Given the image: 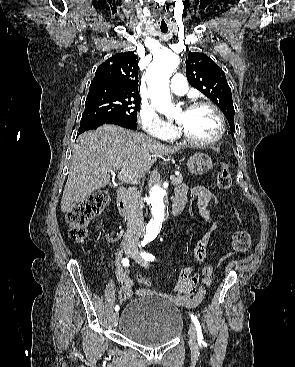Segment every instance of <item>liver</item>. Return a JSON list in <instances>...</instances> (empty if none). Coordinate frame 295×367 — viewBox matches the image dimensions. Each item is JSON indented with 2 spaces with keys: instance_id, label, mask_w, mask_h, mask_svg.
<instances>
[{
  "instance_id": "1",
  "label": "liver",
  "mask_w": 295,
  "mask_h": 367,
  "mask_svg": "<svg viewBox=\"0 0 295 367\" xmlns=\"http://www.w3.org/2000/svg\"><path fill=\"white\" fill-rule=\"evenodd\" d=\"M180 149L114 125H103L96 131L81 134L73 149L61 211L70 212L94 191L105 187L110 173L126 170L133 178L140 179L158 158Z\"/></svg>"
}]
</instances>
